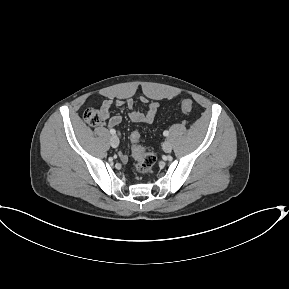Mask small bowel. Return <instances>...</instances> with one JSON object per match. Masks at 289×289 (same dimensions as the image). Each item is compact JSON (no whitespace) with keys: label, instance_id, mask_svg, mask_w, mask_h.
<instances>
[{"label":"small bowel","instance_id":"1","mask_svg":"<svg viewBox=\"0 0 289 289\" xmlns=\"http://www.w3.org/2000/svg\"><path fill=\"white\" fill-rule=\"evenodd\" d=\"M141 102L146 105L145 111H139L135 109L134 101L132 99L127 100H104L101 105V111L105 114V119L108 118L110 109L113 106L127 107L129 109V116L135 123H152L157 115L159 104L155 101H149L146 98H142ZM122 119L119 115H113L108 118V126L116 127L121 123ZM120 159L123 162L128 160V157L124 153H120Z\"/></svg>","mask_w":289,"mask_h":289}]
</instances>
